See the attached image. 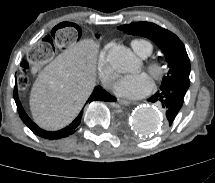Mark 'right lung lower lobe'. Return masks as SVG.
<instances>
[{"instance_id": "right-lung-lower-lobe-1", "label": "right lung lower lobe", "mask_w": 215, "mask_h": 183, "mask_svg": "<svg viewBox=\"0 0 215 183\" xmlns=\"http://www.w3.org/2000/svg\"><path fill=\"white\" fill-rule=\"evenodd\" d=\"M14 99L17 105V109L19 112V115L22 119V121L30 128V130L45 139H50V140H54V139H60V138H64L67 137L71 134H73L76 129L78 128L80 122H81V118H82V113L83 110L79 113V115L76 117V119L67 127L58 130V131H45L43 129H41L40 127H38L25 113L20 100L18 98V92H17V86L15 85L14 88ZM108 101V102H114L116 100V98L112 95H110L108 92H106L101 86H96L92 92V94L90 95V97L87 100V103H91L92 101Z\"/></svg>"}]
</instances>
